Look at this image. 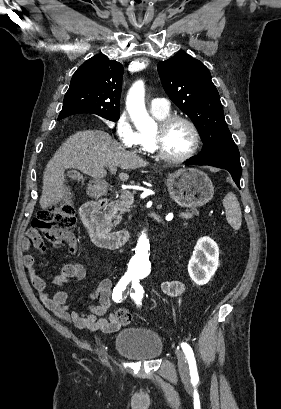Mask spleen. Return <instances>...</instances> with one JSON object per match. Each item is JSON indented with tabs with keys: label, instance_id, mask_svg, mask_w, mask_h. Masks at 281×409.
I'll use <instances>...</instances> for the list:
<instances>
[{
	"label": "spleen",
	"instance_id": "spleen-1",
	"mask_svg": "<svg viewBox=\"0 0 281 409\" xmlns=\"http://www.w3.org/2000/svg\"><path fill=\"white\" fill-rule=\"evenodd\" d=\"M223 205L229 225H231L235 231H238L242 223V213L236 194H234V192H228L225 198H223Z\"/></svg>",
	"mask_w": 281,
	"mask_h": 409
}]
</instances>
